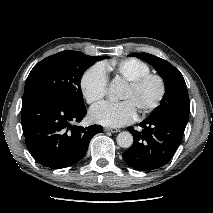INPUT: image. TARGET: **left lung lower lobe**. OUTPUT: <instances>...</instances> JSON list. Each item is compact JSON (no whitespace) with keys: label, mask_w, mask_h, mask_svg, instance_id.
I'll return each instance as SVG.
<instances>
[{"label":"left lung lower lobe","mask_w":213,"mask_h":213,"mask_svg":"<svg viewBox=\"0 0 213 213\" xmlns=\"http://www.w3.org/2000/svg\"><path fill=\"white\" fill-rule=\"evenodd\" d=\"M188 120L176 115L145 119L141 132L127 129L134 137L130 149L123 153L125 162L135 170L150 171L169 162L181 143Z\"/></svg>","instance_id":"1"}]
</instances>
